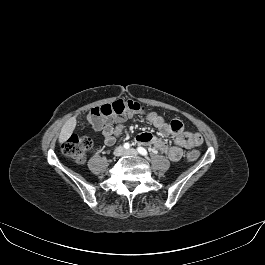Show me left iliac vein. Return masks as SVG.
<instances>
[{
	"label": "left iliac vein",
	"instance_id": "obj_1",
	"mask_svg": "<svg viewBox=\"0 0 265 265\" xmlns=\"http://www.w3.org/2000/svg\"><path fill=\"white\" fill-rule=\"evenodd\" d=\"M125 154L130 156H137L138 152L135 149H129L125 151Z\"/></svg>",
	"mask_w": 265,
	"mask_h": 265
}]
</instances>
